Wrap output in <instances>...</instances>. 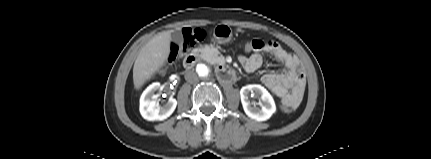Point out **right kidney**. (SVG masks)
I'll return each mask as SVG.
<instances>
[{
	"label": "right kidney",
	"instance_id": "right-kidney-1",
	"mask_svg": "<svg viewBox=\"0 0 431 159\" xmlns=\"http://www.w3.org/2000/svg\"><path fill=\"white\" fill-rule=\"evenodd\" d=\"M160 83L155 82L149 85L142 93L140 98V113L142 117L148 121L167 119L175 110L177 101L170 98L166 104L161 106L157 102L155 92L159 90Z\"/></svg>",
	"mask_w": 431,
	"mask_h": 159
}]
</instances>
